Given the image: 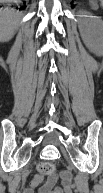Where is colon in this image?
Here are the masks:
<instances>
[{"label": "colon", "mask_w": 103, "mask_h": 193, "mask_svg": "<svg viewBox=\"0 0 103 193\" xmlns=\"http://www.w3.org/2000/svg\"><path fill=\"white\" fill-rule=\"evenodd\" d=\"M38 173L42 176L49 177L53 175L55 168L54 165L51 162H42L37 167ZM68 175L67 173L62 174V176ZM53 179L50 180L52 182Z\"/></svg>", "instance_id": "obj_1"}]
</instances>
